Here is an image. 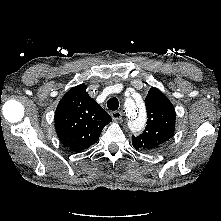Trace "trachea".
Masks as SVG:
<instances>
[{
    "mask_svg": "<svg viewBox=\"0 0 221 221\" xmlns=\"http://www.w3.org/2000/svg\"><path fill=\"white\" fill-rule=\"evenodd\" d=\"M107 107L112 110V111H116L119 107V102L118 99L116 97H112L107 101Z\"/></svg>",
    "mask_w": 221,
    "mask_h": 221,
    "instance_id": "trachea-1",
    "label": "trachea"
}]
</instances>
